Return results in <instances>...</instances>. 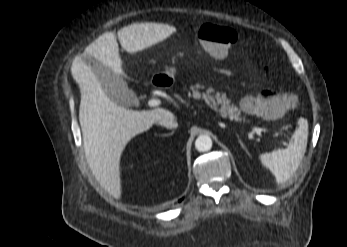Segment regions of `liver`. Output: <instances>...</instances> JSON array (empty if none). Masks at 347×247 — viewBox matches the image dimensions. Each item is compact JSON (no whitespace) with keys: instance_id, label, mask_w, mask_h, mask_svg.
Instances as JSON below:
<instances>
[{"instance_id":"1","label":"liver","mask_w":347,"mask_h":247,"mask_svg":"<svg viewBox=\"0 0 347 247\" xmlns=\"http://www.w3.org/2000/svg\"><path fill=\"white\" fill-rule=\"evenodd\" d=\"M174 27L159 23L132 24L120 29L118 40L124 50L136 53L166 39ZM91 56L123 75L122 60L114 32H106L75 57L71 65L73 78L81 89L79 122L87 162L101 186L115 198L121 197L120 158L127 143L150 129L165 111L129 110L113 102L83 58Z\"/></svg>"}]
</instances>
